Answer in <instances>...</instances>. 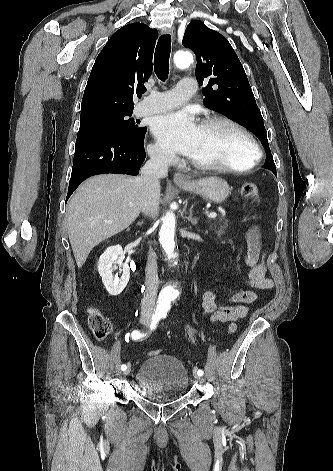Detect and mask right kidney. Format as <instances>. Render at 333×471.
Listing matches in <instances>:
<instances>
[{
  "instance_id": "1",
  "label": "right kidney",
  "mask_w": 333,
  "mask_h": 471,
  "mask_svg": "<svg viewBox=\"0 0 333 471\" xmlns=\"http://www.w3.org/2000/svg\"><path fill=\"white\" fill-rule=\"evenodd\" d=\"M125 253L120 245L108 247L100 256L98 261V272L102 278V282L112 296H117L125 289L130 278V269L127 263H123ZM117 265L121 267L122 276H114L113 270L117 269Z\"/></svg>"
}]
</instances>
